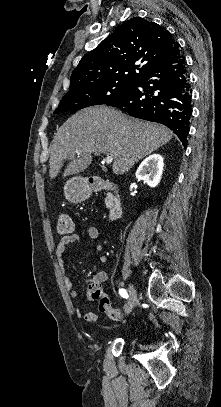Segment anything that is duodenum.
<instances>
[{
    "label": "duodenum",
    "instance_id": "duodenum-1",
    "mask_svg": "<svg viewBox=\"0 0 221 407\" xmlns=\"http://www.w3.org/2000/svg\"><path fill=\"white\" fill-rule=\"evenodd\" d=\"M90 188L96 192L106 191L108 193V221H114L122 216V201L119 193V187L115 183H92Z\"/></svg>",
    "mask_w": 221,
    "mask_h": 407
}]
</instances>
